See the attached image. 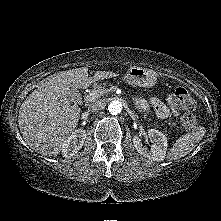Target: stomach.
<instances>
[{
  "label": "stomach",
  "mask_w": 221,
  "mask_h": 221,
  "mask_svg": "<svg viewBox=\"0 0 221 221\" xmlns=\"http://www.w3.org/2000/svg\"><path fill=\"white\" fill-rule=\"evenodd\" d=\"M126 82L133 86L152 87L157 82V74L153 70L132 66L125 75Z\"/></svg>",
  "instance_id": "1"
}]
</instances>
